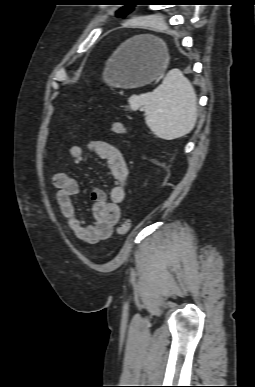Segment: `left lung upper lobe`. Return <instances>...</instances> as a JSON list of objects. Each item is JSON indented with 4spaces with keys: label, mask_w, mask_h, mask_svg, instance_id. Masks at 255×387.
Masks as SVG:
<instances>
[{
    "label": "left lung upper lobe",
    "mask_w": 255,
    "mask_h": 387,
    "mask_svg": "<svg viewBox=\"0 0 255 387\" xmlns=\"http://www.w3.org/2000/svg\"><path fill=\"white\" fill-rule=\"evenodd\" d=\"M126 2H129V1H126ZM133 9H134V5H125L124 7L119 9V11H117L116 15L123 17V16L131 13L133 11Z\"/></svg>",
    "instance_id": "left-lung-upper-lobe-1"
}]
</instances>
